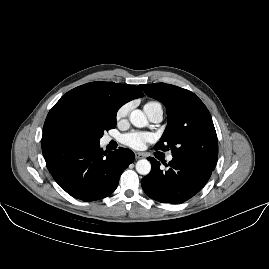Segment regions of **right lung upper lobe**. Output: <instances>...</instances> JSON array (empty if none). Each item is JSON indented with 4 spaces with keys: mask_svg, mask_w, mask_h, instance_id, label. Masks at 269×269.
I'll list each match as a JSON object with an SVG mask.
<instances>
[{
    "mask_svg": "<svg viewBox=\"0 0 269 269\" xmlns=\"http://www.w3.org/2000/svg\"><path fill=\"white\" fill-rule=\"evenodd\" d=\"M139 97H143V93L134 85L91 82L76 87L63 95L48 113L43 127V137L53 134L51 120L61 110L105 109L117 112L123 104Z\"/></svg>",
    "mask_w": 269,
    "mask_h": 269,
    "instance_id": "right-lung-upper-lobe-1",
    "label": "right lung upper lobe"
}]
</instances>
